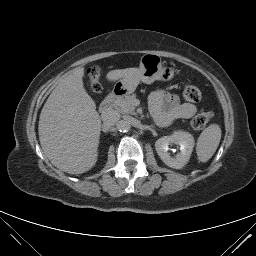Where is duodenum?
Here are the masks:
<instances>
[{
	"label": "duodenum",
	"instance_id": "410a0bca",
	"mask_svg": "<svg viewBox=\"0 0 256 256\" xmlns=\"http://www.w3.org/2000/svg\"><path fill=\"white\" fill-rule=\"evenodd\" d=\"M125 94V90L123 89H116L114 90L112 93H110L101 103L100 105V112L102 114H106L108 113L113 105L115 104V102L122 97Z\"/></svg>",
	"mask_w": 256,
	"mask_h": 256
}]
</instances>
